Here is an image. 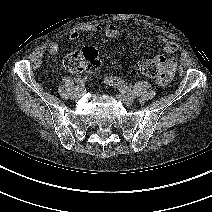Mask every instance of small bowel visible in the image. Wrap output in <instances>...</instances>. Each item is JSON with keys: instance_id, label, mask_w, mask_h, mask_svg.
<instances>
[{"instance_id": "c3829d8e", "label": "small bowel", "mask_w": 212, "mask_h": 212, "mask_svg": "<svg viewBox=\"0 0 212 212\" xmlns=\"http://www.w3.org/2000/svg\"><path fill=\"white\" fill-rule=\"evenodd\" d=\"M82 30L85 32H90V33H104L105 36L108 38H115L118 34V29L116 25L110 22L105 23L103 26L87 25ZM79 36H80V32L78 30H72L68 34V39L71 42H76L79 39ZM156 38L162 43L163 50L165 53L174 54L178 51L179 46L175 41L167 39L161 35H156ZM80 46H83V45L76 44V43L72 45V47H80ZM99 48L101 50H105V48L102 46H100ZM61 50H62V47L58 43L52 42L49 45L48 52L50 55H56ZM159 57L164 58L166 64L163 69L164 76L160 81H157V82L159 85L165 86L170 82L172 76L174 75V72L177 66V61L174 57L166 58L164 56H156L155 58H159ZM167 67H169V73H167Z\"/></svg>"}]
</instances>
